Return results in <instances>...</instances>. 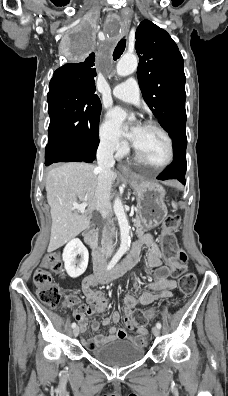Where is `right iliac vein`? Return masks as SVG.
Segmentation results:
<instances>
[{
	"mask_svg": "<svg viewBox=\"0 0 228 396\" xmlns=\"http://www.w3.org/2000/svg\"><path fill=\"white\" fill-rule=\"evenodd\" d=\"M73 335L77 337L79 335V327H75L73 330Z\"/></svg>",
	"mask_w": 228,
	"mask_h": 396,
	"instance_id": "obj_1",
	"label": "right iliac vein"
}]
</instances>
